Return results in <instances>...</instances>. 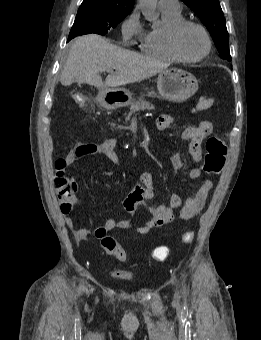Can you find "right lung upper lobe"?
<instances>
[{
    "label": "right lung upper lobe",
    "instance_id": "1",
    "mask_svg": "<svg viewBox=\"0 0 261 340\" xmlns=\"http://www.w3.org/2000/svg\"><path fill=\"white\" fill-rule=\"evenodd\" d=\"M81 5L106 7L129 14L134 5V0H84Z\"/></svg>",
    "mask_w": 261,
    "mask_h": 340
}]
</instances>
